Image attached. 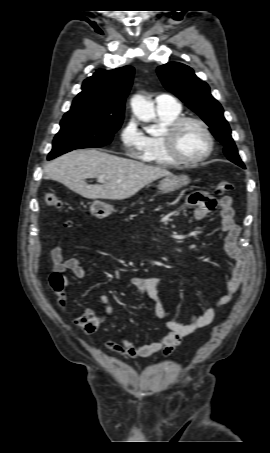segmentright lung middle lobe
Masks as SVG:
<instances>
[{"instance_id":"1","label":"right lung middle lobe","mask_w":270,"mask_h":453,"mask_svg":"<svg viewBox=\"0 0 270 453\" xmlns=\"http://www.w3.org/2000/svg\"><path fill=\"white\" fill-rule=\"evenodd\" d=\"M121 124L122 121L94 114L64 116L60 123L61 129L53 140V148L48 159L74 149L108 145Z\"/></svg>"}]
</instances>
